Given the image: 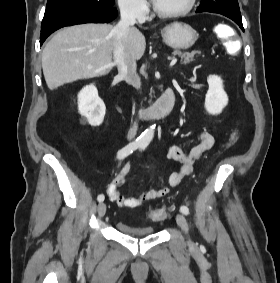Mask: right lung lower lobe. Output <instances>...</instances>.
<instances>
[{"label": "right lung lower lobe", "mask_w": 280, "mask_h": 283, "mask_svg": "<svg viewBox=\"0 0 280 283\" xmlns=\"http://www.w3.org/2000/svg\"><path fill=\"white\" fill-rule=\"evenodd\" d=\"M117 16V9L108 10H86V9H64L44 14L41 24L40 44L54 31L76 24L84 23H106Z\"/></svg>", "instance_id": "1"}]
</instances>
